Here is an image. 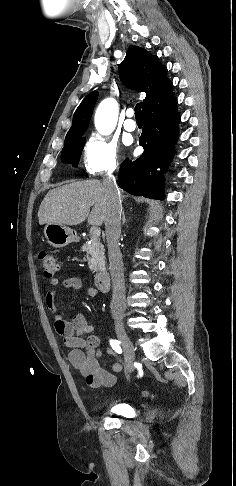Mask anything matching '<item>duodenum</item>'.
Masks as SVG:
<instances>
[{
  "mask_svg": "<svg viewBox=\"0 0 236 486\" xmlns=\"http://www.w3.org/2000/svg\"><path fill=\"white\" fill-rule=\"evenodd\" d=\"M95 285L101 292H106L108 290L109 273L107 270H101L96 274Z\"/></svg>",
  "mask_w": 236,
  "mask_h": 486,
  "instance_id": "410a0bca",
  "label": "duodenum"
}]
</instances>
